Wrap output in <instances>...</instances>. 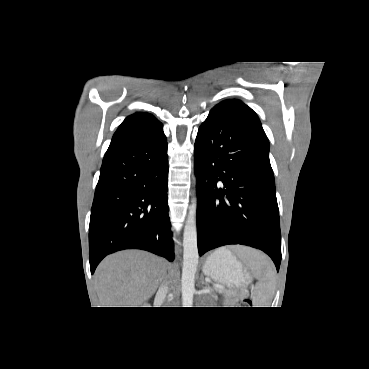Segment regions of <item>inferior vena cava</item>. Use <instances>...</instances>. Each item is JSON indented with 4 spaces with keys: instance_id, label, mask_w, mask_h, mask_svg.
Returning a JSON list of instances; mask_svg holds the SVG:
<instances>
[{
    "instance_id": "obj_1",
    "label": "inferior vena cava",
    "mask_w": 369,
    "mask_h": 369,
    "mask_svg": "<svg viewBox=\"0 0 369 369\" xmlns=\"http://www.w3.org/2000/svg\"><path fill=\"white\" fill-rule=\"evenodd\" d=\"M167 291H168L167 284L165 283V281H163L160 285L159 292L164 296L166 295Z\"/></svg>"
}]
</instances>
